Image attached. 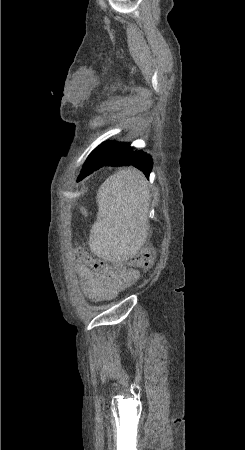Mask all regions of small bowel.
Instances as JSON below:
<instances>
[{
    "label": "small bowel",
    "mask_w": 245,
    "mask_h": 450,
    "mask_svg": "<svg viewBox=\"0 0 245 450\" xmlns=\"http://www.w3.org/2000/svg\"><path fill=\"white\" fill-rule=\"evenodd\" d=\"M74 270L82 280L85 292L93 300L113 298L124 289L133 285L139 278L136 269H109L101 274L95 273L91 267L75 256Z\"/></svg>",
    "instance_id": "obj_1"
}]
</instances>
